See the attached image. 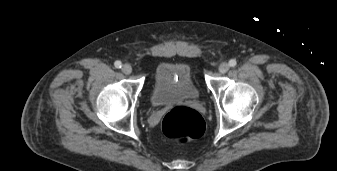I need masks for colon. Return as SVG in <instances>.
Masks as SVG:
<instances>
[{
  "label": "colon",
  "instance_id": "obj_1",
  "mask_svg": "<svg viewBox=\"0 0 337 171\" xmlns=\"http://www.w3.org/2000/svg\"><path fill=\"white\" fill-rule=\"evenodd\" d=\"M162 131L168 138L186 141L198 138L205 131L202 116L188 107H176L162 121Z\"/></svg>",
  "mask_w": 337,
  "mask_h": 171
}]
</instances>
